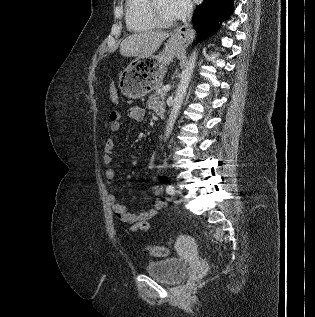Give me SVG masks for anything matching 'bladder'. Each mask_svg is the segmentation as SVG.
<instances>
[{"instance_id":"31cf9c89","label":"bladder","mask_w":315,"mask_h":317,"mask_svg":"<svg viewBox=\"0 0 315 317\" xmlns=\"http://www.w3.org/2000/svg\"><path fill=\"white\" fill-rule=\"evenodd\" d=\"M145 269L151 277L168 284L181 282L187 274V265L180 258L150 261Z\"/></svg>"}]
</instances>
